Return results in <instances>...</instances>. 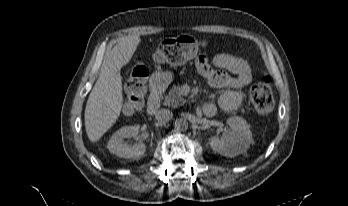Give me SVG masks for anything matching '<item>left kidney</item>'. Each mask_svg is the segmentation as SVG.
Wrapping results in <instances>:
<instances>
[{
	"mask_svg": "<svg viewBox=\"0 0 348 206\" xmlns=\"http://www.w3.org/2000/svg\"><path fill=\"white\" fill-rule=\"evenodd\" d=\"M230 129L222 137L213 136L209 139L211 148L215 153L226 157H235L248 150L252 139L250 126L241 117H230L227 120Z\"/></svg>",
	"mask_w": 348,
	"mask_h": 206,
	"instance_id": "1",
	"label": "left kidney"
}]
</instances>
